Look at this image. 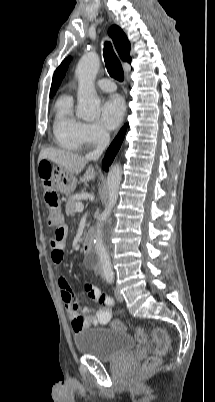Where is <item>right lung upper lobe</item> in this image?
<instances>
[{
  "mask_svg": "<svg viewBox=\"0 0 215 402\" xmlns=\"http://www.w3.org/2000/svg\"><path fill=\"white\" fill-rule=\"evenodd\" d=\"M109 35L113 40V43L116 47V50L120 57L122 58L123 61L131 62V57L129 56L130 54V43L124 34V32L116 25H113L109 29ZM71 58L65 59L60 66L56 69L54 75H53V80H52V85H51V90H50V96H53L58 89L62 78L65 75V72L68 68V64L70 62Z\"/></svg>",
  "mask_w": 215,
  "mask_h": 402,
  "instance_id": "1",
  "label": "right lung upper lobe"
}]
</instances>
